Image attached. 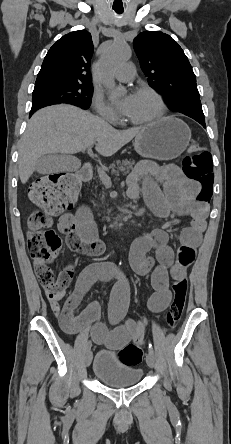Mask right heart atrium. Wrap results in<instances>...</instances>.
I'll return each instance as SVG.
<instances>
[{
    "mask_svg": "<svg viewBox=\"0 0 231 444\" xmlns=\"http://www.w3.org/2000/svg\"><path fill=\"white\" fill-rule=\"evenodd\" d=\"M93 107L96 113L102 118L115 122L118 119V115L114 108L106 102L101 93H95L93 96Z\"/></svg>",
    "mask_w": 231,
    "mask_h": 444,
    "instance_id": "right-heart-atrium-1",
    "label": "right heart atrium"
}]
</instances>
